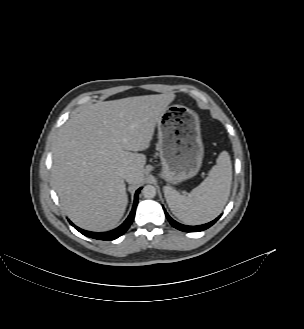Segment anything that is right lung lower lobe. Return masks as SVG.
<instances>
[{
  "mask_svg": "<svg viewBox=\"0 0 304 329\" xmlns=\"http://www.w3.org/2000/svg\"><path fill=\"white\" fill-rule=\"evenodd\" d=\"M140 189H138L135 193L134 204H133V208H132L130 215L124 221V223H122L118 228L108 231V232L98 233V232H90V231L80 229L79 227L75 226L72 222H70V224L74 228H76V230H78L80 233H82L83 235H85L87 237L98 239V240H105V241L114 240V239L120 237L121 235H123L126 232V230L129 228V226L131 225V223L134 219L136 206L138 203V194H139Z\"/></svg>",
  "mask_w": 304,
  "mask_h": 329,
  "instance_id": "obj_1",
  "label": "right lung lower lobe"
}]
</instances>
